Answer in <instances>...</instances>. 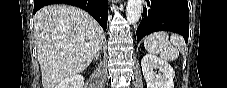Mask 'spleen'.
<instances>
[{"label": "spleen", "instance_id": "obj_1", "mask_svg": "<svg viewBox=\"0 0 227 88\" xmlns=\"http://www.w3.org/2000/svg\"><path fill=\"white\" fill-rule=\"evenodd\" d=\"M144 47L151 54H159L160 57L167 61H173L178 58L179 50L184 47V39L173 34L170 36L159 31L145 37Z\"/></svg>", "mask_w": 227, "mask_h": 88}]
</instances>
